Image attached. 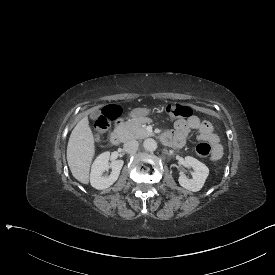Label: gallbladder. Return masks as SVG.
I'll list each match as a JSON object with an SVG mask.
<instances>
[{
	"mask_svg": "<svg viewBox=\"0 0 275 275\" xmlns=\"http://www.w3.org/2000/svg\"><path fill=\"white\" fill-rule=\"evenodd\" d=\"M101 115L100 110H95L90 114V118L96 120Z\"/></svg>",
	"mask_w": 275,
	"mask_h": 275,
	"instance_id": "gallbladder-1",
	"label": "gallbladder"
}]
</instances>
